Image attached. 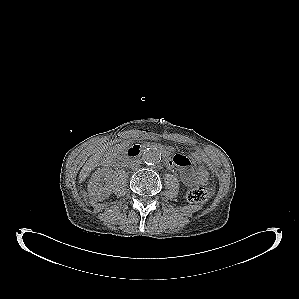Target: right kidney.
Masks as SVG:
<instances>
[{"instance_id": "obj_1", "label": "right kidney", "mask_w": 299, "mask_h": 299, "mask_svg": "<svg viewBox=\"0 0 299 299\" xmlns=\"http://www.w3.org/2000/svg\"><path fill=\"white\" fill-rule=\"evenodd\" d=\"M110 171L107 168L97 170L91 177L88 184L89 196L103 200L111 194Z\"/></svg>"}]
</instances>
